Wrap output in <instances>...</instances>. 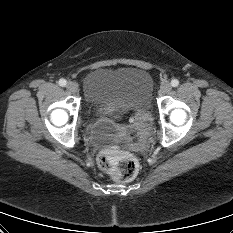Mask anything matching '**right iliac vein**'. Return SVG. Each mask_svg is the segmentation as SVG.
<instances>
[{"label":"right iliac vein","instance_id":"obj_1","mask_svg":"<svg viewBox=\"0 0 233 233\" xmlns=\"http://www.w3.org/2000/svg\"><path fill=\"white\" fill-rule=\"evenodd\" d=\"M67 90L71 93H76L78 91V86L76 83L69 81L66 86Z\"/></svg>","mask_w":233,"mask_h":233}]
</instances>
